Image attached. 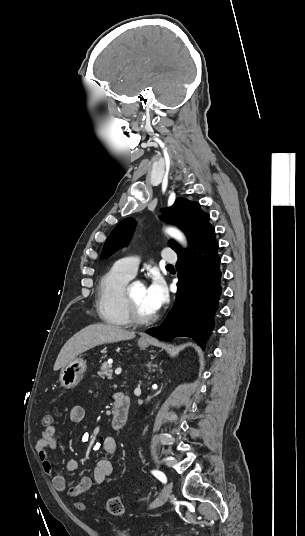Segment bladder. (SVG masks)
<instances>
[{"label": "bladder", "instance_id": "obj_1", "mask_svg": "<svg viewBox=\"0 0 305 536\" xmlns=\"http://www.w3.org/2000/svg\"><path fill=\"white\" fill-rule=\"evenodd\" d=\"M114 534V536H132L126 529H115Z\"/></svg>", "mask_w": 305, "mask_h": 536}]
</instances>
